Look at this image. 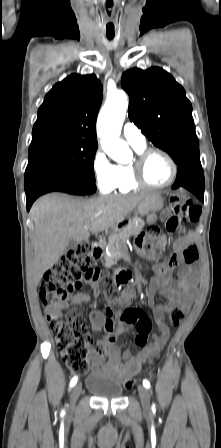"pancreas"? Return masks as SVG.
Returning a JSON list of instances; mask_svg holds the SVG:
<instances>
[{
  "label": "pancreas",
  "instance_id": "1",
  "mask_svg": "<svg viewBox=\"0 0 221 448\" xmlns=\"http://www.w3.org/2000/svg\"><path fill=\"white\" fill-rule=\"evenodd\" d=\"M143 226L144 221L142 219H138L137 227H134L131 222L126 228L111 236L108 251L105 256L104 265L106 267L109 268L117 262V260L122 256V253L126 251V241L129 240L130 237L138 235Z\"/></svg>",
  "mask_w": 221,
  "mask_h": 448
}]
</instances>
